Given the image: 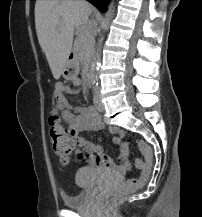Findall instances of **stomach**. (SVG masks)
I'll return each instance as SVG.
<instances>
[{"mask_svg": "<svg viewBox=\"0 0 202 217\" xmlns=\"http://www.w3.org/2000/svg\"><path fill=\"white\" fill-rule=\"evenodd\" d=\"M79 73L78 63L74 60H67L63 70L62 76L65 79H73L76 78Z\"/></svg>", "mask_w": 202, "mask_h": 217, "instance_id": "0dacf381", "label": "stomach"}]
</instances>
